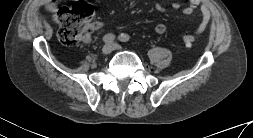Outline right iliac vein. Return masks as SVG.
I'll list each match as a JSON object with an SVG mask.
<instances>
[{"label":"right iliac vein","instance_id":"right-iliac-vein-1","mask_svg":"<svg viewBox=\"0 0 253 138\" xmlns=\"http://www.w3.org/2000/svg\"><path fill=\"white\" fill-rule=\"evenodd\" d=\"M114 50V46L111 43H107L102 48L103 55H109Z\"/></svg>","mask_w":253,"mask_h":138}]
</instances>
